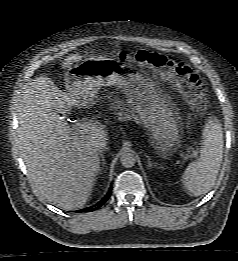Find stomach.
Masks as SVG:
<instances>
[{
	"label": "stomach",
	"mask_w": 238,
	"mask_h": 261,
	"mask_svg": "<svg viewBox=\"0 0 238 261\" xmlns=\"http://www.w3.org/2000/svg\"><path fill=\"white\" fill-rule=\"evenodd\" d=\"M65 85L75 105L83 108L94 105L100 87H122L139 105L141 119L161 153L167 154L178 143L181 124L176 108L152 79L133 67L108 60H85L69 68Z\"/></svg>",
	"instance_id": "0dacf381"
}]
</instances>
